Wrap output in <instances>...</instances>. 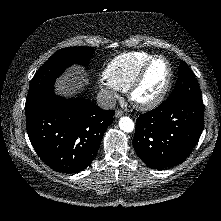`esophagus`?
Segmentation results:
<instances>
[{
	"mask_svg": "<svg viewBox=\"0 0 221 221\" xmlns=\"http://www.w3.org/2000/svg\"><path fill=\"white\" fill-rule=\"evenodd\" d=\"M123 114H124L123 111H121V110H116V112H115V117H121Z\"/></svg>",
	"mask_w": 221,
	"mask_h": 221,
	"instance_id": "esophagus-1",
	"label": "esophagus"
}]
</instances>
